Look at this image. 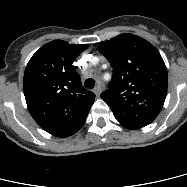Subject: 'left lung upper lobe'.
Instances as JSON below:
<instances>
[{"instance_id": "1", "label": "left lung upper lobe", "mask_w": 187, "mask_h": 187, "mask_svg": "<svg viewBox=\"0 0 187 187\" xmlns=\"http://www.w3.org/2000/svg\"><path fill=\"white\" fill-rule=\"evenodd\" d=\"M113 76L101 98L127 129L144 127L157 117L167 95V69L158 50L133 34L99 43Z\"/></svg>"}]
</instances>
